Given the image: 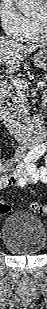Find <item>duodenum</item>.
<instances>
[{"label": "duodenum", "mask_w": 47, "mask_h": 309, "mask_svg": "<svg viewBox=\"0 0 47 309\" xmlns=\"http://www.w3.org/2000/svg\"><path fill=\"white\" fill-rule=\"evenodd\" d=\"M15 104L6 100L1 110V119L11 135L25 147H35L42 143L45 135L42 117L35 118L33 126H27L16 120L14 116Z\"/></svg>", "instance_id": "duodenum-1"}]
</instances>
